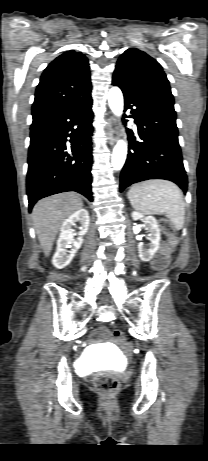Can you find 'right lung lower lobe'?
<instances>
[{
  "label": "right lung lower lobe",
  "mask_w": 208,
  "mask_h": 461,
  "mask_svg": "<svg viewBox=\"0 0 208 461\" xmlns=\"http://www.w3.org/2000/svg\"><path fill=\"white\" fill-rule=\"evenodd\" d=\"M92 98L31 125L26 190L29 211L41 198L75 191L93 201Z\"/></svg>",
  "instance_id": "1"
}]
</instances>
